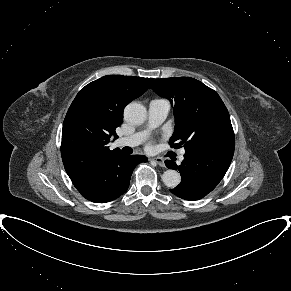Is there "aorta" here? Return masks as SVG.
<instances>
[{"mask_svg":"<svg viewBox=\"0 0 291 291\" xmlns=\"http://www.w3.org/2000/svg\"><path fill=\"white\" fill-rule=\"evenodd\" d=\"M146 117L147 110L140 103L131 102L124 109V118L131 124L140 125ZM162 180L167 187L174 188L180 184L181 176L176 170L168 169L163 173Z\"/></svg>","mask_w":291,"mask_h":291,"instance_id":"aorta-1","label":"aorta"}]
</instances>
